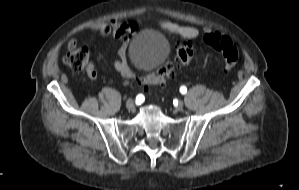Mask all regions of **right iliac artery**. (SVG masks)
Listing matches in <instances>:
<instances>
[{
	"mask_svg": "<svg viewBox=\"0 0 299 190\" xmlns=\"http://www.w3.org/2000/svg\"><path fill=\"white\" fill-rule=\"evenodd\" d=\"M144 100V96L142 94H139L137 97H136V102L137 103H140Z\"/></svg>",
	"mask_w": 299,
	"mask_h": 190,
	"instance_id": "82829eb1",
	"label": "right iliac artery"
}]
</instances>
